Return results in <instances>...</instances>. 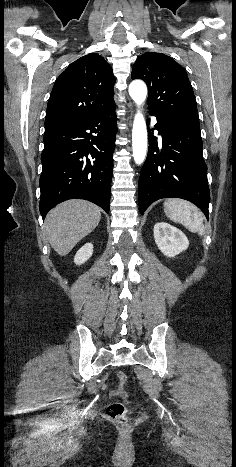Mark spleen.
Returning <instances> with one entry per match:
<instances>
[{"label":"spleen","mask_w":236,"mask_h":467,"mask_svg":"<svg viewBox=\"0 0 236 467\" xmlns=\"http://www.w3.org/2000/svg\"><path fill=\"white\" fill-rule=\"evenodd\" d=\"M164 210L173 222L181 223L191 232L204 234L203 216L193 204L182 199H170L164 202Z\"/></svg>","instance_id":"obj_1"}]
</instances>
